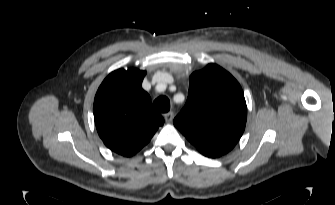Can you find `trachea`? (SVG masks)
Returning <instances> with one entry per match:
<instances>
[{
	"label": "trachea",
	"mask_w": 335,
	"mask_h": 205,
	"mask_svg": "<svg viewBox=\"0 0 335 205\" xmlns=\"http://www.w3.org/2000/svg\"><path fill=\"white\" fill-rule=\"evenodd\" d=\"M153 106L159 112L166 113L170 110V101L166 96H161L154 100Z\"/></svg>",
	"instance_id": "obj_1"
}]
</instances>
